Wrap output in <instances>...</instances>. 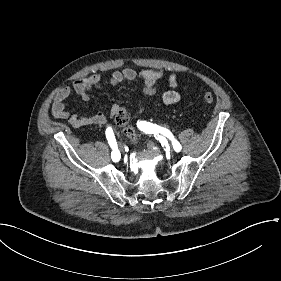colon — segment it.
Instances as JSON below:
<instances>
[{
	"instance_id": "obj_1",
	"label": "colon",
	"mask_w": 281,
	"mask_h": 281,
	"mask_svg": "<svg viewBox=\"0 0 281 281\" xmlns=\"http://www.w3.org/2000/svg\"><path fill=\"white\" fill-rule=\"evenodd\" d=\"M203 100L207 104H212L215 101V95L212 93H205L203 96ZM130 118L129 111L127 109H119L115 115V121L119 126L124 127L125 132L130 136L131 140L134 143L139 142V136L135 133V130L129 126L128 123L123 124L127 122ZM122 122V123H121Z\"/></svg>"
}]
</instances>
